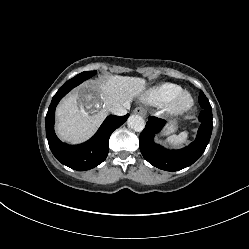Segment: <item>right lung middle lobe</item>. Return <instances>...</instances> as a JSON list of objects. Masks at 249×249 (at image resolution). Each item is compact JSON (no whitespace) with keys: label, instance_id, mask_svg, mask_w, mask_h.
<instances>
[{"label":"right lung middle lobe","instance_id":"obj_1","mask_svg":"<svg viewBox=\"0 0 249 249\" xmlns=\"http://www.w3.org/2000/svg\"><path fill=\"white\" fill-rule=\"evenodd\" d=\"M96 71H86V72H82L80 74H78L77 76H75L76 78H84L89 79L90 77H92L93 75H95Z\"/></svg>","mask_w":249,"mask_h":249}]
</instances>
